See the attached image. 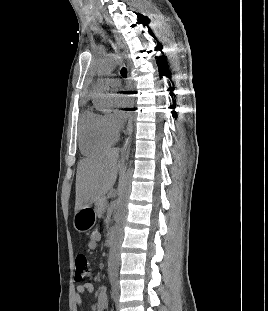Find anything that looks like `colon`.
<instances>
[{
	"label": "colon",
	"mask_w": 268,
	"mask_h": 311,
	"mask_svg": "<svg viewBox=\"0 0 268 311\" xmlns=\"http://www.w3.org/2000/svg\"><path fill=\"white\" fill-rule=\"evenodd\" d=\"M90 272L88 258L85 254L79 253L75 257V279L80 281L86 277Z\"/></svg>",
	"instance_id": "obj_1"
}]
</instances>
